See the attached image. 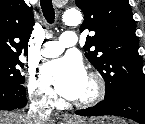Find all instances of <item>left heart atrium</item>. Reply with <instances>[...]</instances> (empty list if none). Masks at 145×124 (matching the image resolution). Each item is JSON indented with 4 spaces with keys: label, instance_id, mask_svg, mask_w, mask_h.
<instances>
[{
    "label": "left heart atrium",
    "instance_id": "left-heart-atrium-1",
    "mask_svg": "<svg viewBox=\"0 0 145 124\" xmlns=\"http://www.w3.org/2000/svg\"><path fill=\"white\" fill-rule=\"evenodd\" d=\"M42 76L61 96L70 100L79 95L87 78L82 62L76 56L46 63L42 67Z\"/></svg>",
    "mask_w": 145,
    "mask_h": 124
}]
</instances>
